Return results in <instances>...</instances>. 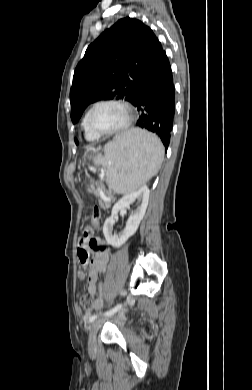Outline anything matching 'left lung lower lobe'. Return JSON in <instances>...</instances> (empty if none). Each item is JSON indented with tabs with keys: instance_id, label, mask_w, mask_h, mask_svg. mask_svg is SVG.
I'll return each mask as SVG.
<instances>
[{
	"instance_id": "0a47b994",
	"label": "left lung lower lobe",
	"mask_w": 252,
	"mask_h": 390,
	"mask_svg": "<svg viewBox=\"0 0 252 390\" xmlns=\"http://www.w3.org/2000/svg\"><path fill=\"white\" fill-rule=\"evenodd\" d=\"M131 103L140 113L136 126L157 134L167 150L175 115V87L165 51L143 75Z\"/></svg>"
}]
</instances>
